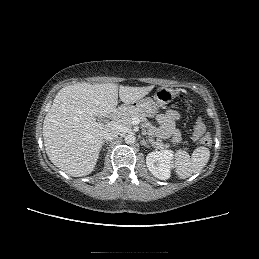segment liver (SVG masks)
Returning a JSON list of instances; mask_svg holds the SVG:
<instances>
[{
	"label": "liver",
	"mask_w": 259,
	"mask_h": 259,
	"mask_svg": "<svg viewBox=\"0 0 259 259\" xmlns=\"http://www.w3.org/2000/svg\"><path fill=\"white\" fill-rule=\"evenodd\" d=\"M153 87L114 83H78L63 87L43 123L44 146L51 162L73 177L90 174L104 142V125L97 122L96 117L115 110L118 90L120 100L128 106L145 97Z\"/></svg>",
	"instance_id": "liver-1"
}]
</instances>
